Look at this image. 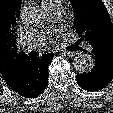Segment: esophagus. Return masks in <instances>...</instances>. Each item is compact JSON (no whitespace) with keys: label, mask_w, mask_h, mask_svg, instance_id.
I'll return each mask as SVG.
<instances>
[{"label":"esophagus","mask_w":113,"mask_h":113,"mask_svg":"<svg viewBox=\"0 0 113 113\" xmlns=\"http://www.w3.org/2000/svg\"><path fill=\"white\" fill-rule=\"evenodd\" d=\"M62 53H64L65 55H67L69 57H73L76 55V52H74V51H62Z\"/></svg>","instance_id":"34e87169"}]
</instances>
